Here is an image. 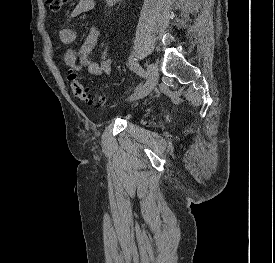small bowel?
Here are the masks:
<instances>
[{
	"instance_id": "obj_1",
	"label": "small bowel",
	"mask_w": 275,
	"mask_h": 263,
	"mask_svg": "<svg viewBox=\"0 0 275 263\" xmlns=\"http://www.w3.org/2000/svg\"><path fill=\"white\" fill-rule=\"evenodd\" d=\"M94 4V0H79L69 14V21L93 9ZM99 35V29L96 26L91 27L77 50L69 48L65 51L64 63L77 72L85 69L89 75L95 77L109 74L112 67L110 58L105 57L100 61L90 59V54L97 44ZM59 36L62 43L70 45L76 41L77 32L72 27L66 26L59 31Z\"/></svg>"
}]
</instances>
